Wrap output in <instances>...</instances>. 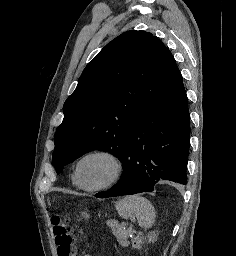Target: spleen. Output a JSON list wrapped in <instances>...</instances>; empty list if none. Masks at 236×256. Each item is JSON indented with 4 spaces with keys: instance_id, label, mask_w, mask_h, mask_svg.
<instances>
[{
    "instance_id": "obj_1",
    "label": "spleen",
    "mask_w": 236,
    "mask_h": 256,
    "mask_svg": "<svg viewBox=\"0 0 236 256\" xmlns=\"http://www.w3.org/2000/svg\"><path fill=\"white\" fill-rule=\"evenodd\" d=\"M115 208L121 218L128 220V218L135 216L139 226H144V228H149L154 220L155 212L151 202H148L146 198H141V196L123 198V200L115 202Z\"/></svg>"
}]
</instances>
